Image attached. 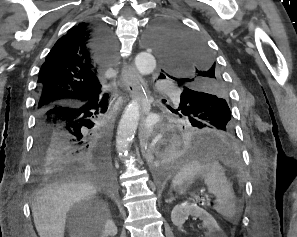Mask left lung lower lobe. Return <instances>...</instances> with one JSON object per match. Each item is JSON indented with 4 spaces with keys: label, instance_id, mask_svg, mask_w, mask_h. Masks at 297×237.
<instances>
[{
    "label": "left lung lower lobe",
    "instance_id": "left-lung-lower-lobe-1",
    "mask_svg": "<svg viewBox=\"0 0 297 237\" xmlns=\"http://www.w3.org/2000/svg\"><path fill=\"white\" fill-rule=\"evenodd\" d=\"M182 105V104H181ZM181 108V106H179ZM178 114L188 116L178 109ZM211 118V119H210ZM189 126L180 136L167 160L169 165H180L199 157L231 156L236 149V139L233 130L227 129L218 117H189Z\"/></svg>",
    "mask_w": 297,
    "mask_h": 237
}]
</instances>
